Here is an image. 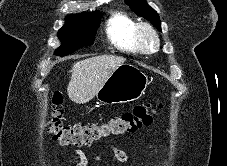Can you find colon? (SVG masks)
Wrapping results in <instances>:
<instances>
[{"label":"colon","mask_w":227,"mask_h":166,"mask_svg":"<svg viewBox=\"0 0 227 166\" xmlns=\"http://www.w3.org/2000/svg\"><path fill=\"white\" fill-rule=\"evenodd\" d=\"M50 101L49 132L62 145L76 147L90 146L111 136L137 132L140 128L151 124L152 115L160 107L155 101L149 100L100 125H65L62 121V94L57 91L52 93Z\"/></svg>","instance_id":"obj_1"}]
</instances>
